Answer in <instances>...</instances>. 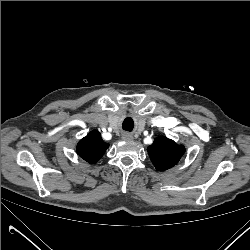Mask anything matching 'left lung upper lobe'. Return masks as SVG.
I'll use <instances>...</instances> for the list:
<instances>
[{
  "label": "left lung upper lobe",
  "instance_id": "5c2ea615",
  "mask_svg": "<svg viewBox=\"0 0 250 250\" xmlns=\"http://www.w3.org/2000/svg\"><path fill=\"white\" fill-rule=\"evenodd\" d=\"M185 152L183 145L176 144L167 137H157L148 147V153L154 166L159 171L174 167Z\"/></svg>",
  "mask_w": 250,
  "mask_h": 250
}]
</instances>
